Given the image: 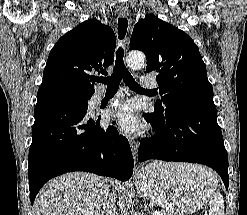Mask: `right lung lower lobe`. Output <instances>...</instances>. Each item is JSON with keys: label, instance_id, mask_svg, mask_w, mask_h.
<instances>
[{"label": "right lung lower lobe", "instance_id": "98d812e1", "mask_svg": "<svg viewBox=\"0 0 247 215\" xmlns=\"http://www.w3.org/2000/svg\"><path fill=\"white\" fill-rule=\"evenodd\" d=\"M87 109L39 89L29 149L31 204L49 179L66 172L86 171L121 181L132 176L128 140L113 125L101 128Z\"/></svg>", "mask_w": 247, "mask_h": 215}]
</instances>
